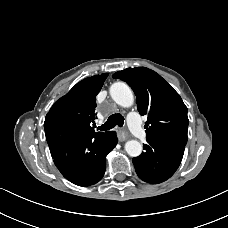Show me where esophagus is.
Here are the masks:
<instances>
[{"instance_id": "34e87169", "label": "esophagus", "mask_w": 228, "mask_h": 228, "mask_svg": "<svg viewBox=\"0 0 228 228\" xmlns=\"http://www.w3.org/2000/svg\"><path fill=\"white\" fill-rule=\"evenodd\" d=\"M118 139L120 142H123L128 139V133L125 130H118Z\"/></svg>"}]
</instances>
